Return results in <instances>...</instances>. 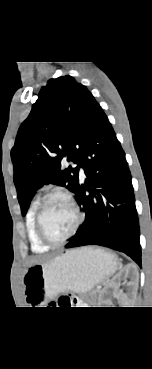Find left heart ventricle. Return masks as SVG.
I'll return each instance as SVG.
<instances>
[{
  "label": "left heart ventricle",
  "instance_id": "b2bd125f",
  "mask_svg": "<svg viewBox=\"0 0 152 369\" xmlns=\"http://www.w3.org/2000/svg\"><path fill=\"white\" fill-rule=\"evenodd\" d=\"M43 228L54 240L68 235L75 224V214L70 204L62 198L52 199L43 214Z\"/></svg>",
  "mask_w": 152,
  "mask_h": 369
}]
</instances>
